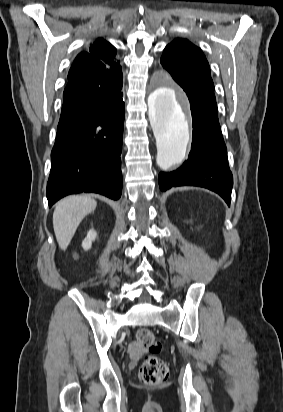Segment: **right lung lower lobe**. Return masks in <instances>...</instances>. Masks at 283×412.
Instances as JSON below:
<instances>
[{
    "mask_svg": "<svg viewBox=\"0 0 283 412\" xmlns=\"http://www.w3.org/2000/svg\"><path fill=\"white\" fill-rule=\"evenodd\" d=\"M122 86L123 82H102L63 100L47 183L49 207L64 196L81 192L120 198Z\"/></svg>",
    "mask_w": 283,
    "mask_h": 412,
    "instance_id": "1",
    "label": "right lung lower lobe"
}]
</instances>
